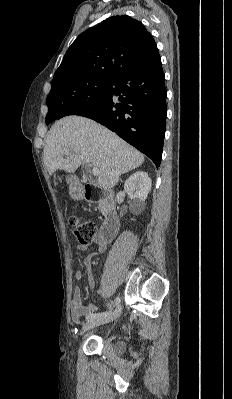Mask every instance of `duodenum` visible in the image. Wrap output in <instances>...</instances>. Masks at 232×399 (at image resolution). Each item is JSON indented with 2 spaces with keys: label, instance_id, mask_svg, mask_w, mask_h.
<instances>
[{
  "label": "duodenum",
  "instance_id": "410a0bca",
  "mask_svg": "<svg viewBox=\"0 0 232 399\" xmlns=\"http://www.w3.org/2000/svg\"><path fill=\"white\" fill-rule=\"evenodd\" d=\"M79 192L85 200L97 202L103 206L105 219L100 238L105 242H110L116 236L120 226L113 193L93 184L84 185Z\"/></svg>",
  "mask_w": 232,
  "mask_h": 399
}]
</instances>
